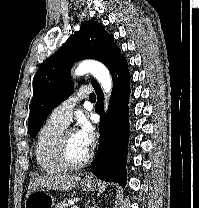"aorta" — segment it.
<instances>
[{"instance_id": "1", "label": "aorta", "mask_w": 199, "mask_h": 208, "mask_svg": "<svg viewBox=\"0 0 199 208\" xmlns=\"http://www.w3.org/2000/svg\"><path fill=\"white\" fill-rule=\"evenodd\" d=\"M87 73H91L101 85L105 94L107 109L109 95L111 94L113 85L109 70L105 65L95 60H85L74 70V75L76 76H81Z\"/></svg>"}]
</instances>
